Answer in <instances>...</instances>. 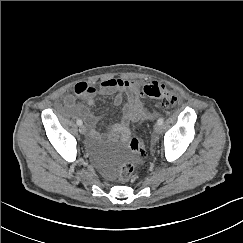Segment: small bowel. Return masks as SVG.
Returning <instances> with one entry per match:
<instances>
[{"instance_id":"small-bowel-1","label":"small bowel","mask_w":243,"mask_h":243,"mask_svg":"<svg viewBox=\"0 0 243 243\" xmlns=\"http://www.w3.org/2000/svg\"><path fill=\"white\" fill-rule=\"evenodd\" d=\"M97 95H113V103L116 106L121 105L124 98H127L120 122L113 123L106 128L113 139L119 138L122 141H127L130 136L129 125L131 123H140L146 119H152L156 115L154 111L146 108L140 84L124 78L104 79L99 87L87 82H79L74 87V94H69L61 100L60 108H75L76 113L86 118L93 126V132L97 133V117L91 114L86 106L76 104L77 98H81L88 105H93Z\"/></svg>"}]
</instances>
